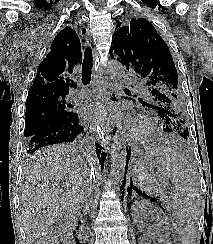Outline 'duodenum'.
I'll return each mask as SVG.
<instances>
[{
  "label": "duodenum",
  "instance_id": "410a0bca",
  "mask_svg": "<svg viewBox=\"0 0 213 244\" xmlns=\"http://www.w3.org/2000/svg\"><path fill=\"white\" fill-rule=\"evenodd\" d=\"M81 230H82V228H81L80 223H76L74 225V234H75L74 238L76 239V244H80V242L78 241V237L80 236Z\"/></svg>",
  "mask_w": 213,
  "mask_h": 244
}]
</instances>
